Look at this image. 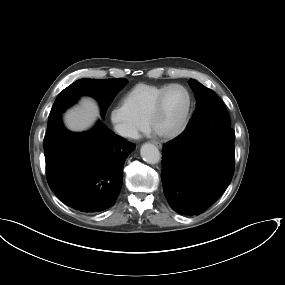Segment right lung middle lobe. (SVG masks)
I'll return each mask as SVG.
<instances>
[{
	"mask_svg": "<svg viewBox=\"0 0 285 285\" xmlns=\"http://www.w3.org/2000/svg\"><path fill=\"white\" fill-rule=\"evenodd\" d=\"M126 83L125 78L103 80L84 78L77 80L65 88L57 97L49 115L47 132L61 120L62 113L75 103L81 95L89 94L96 97L101 105V115L104 117L113 98Z\"/></svg>",
	"mask_w": 285,
	"mask_h": 285,
	"instance_id": "1",
	"label": "right lung middle lobe"
}]
</instances>
